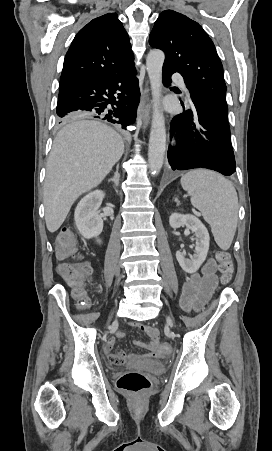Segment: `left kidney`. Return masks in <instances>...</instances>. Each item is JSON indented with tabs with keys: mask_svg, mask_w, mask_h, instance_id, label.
<instances>
[{
	"mask_svg": "<svg viewBox=\"0 0 272 451\" xmlns=\"http://www.w3.org/2000/svg\"><path fill=\"white\" fill-rule=\"evenodd\" d=\"M169 224L171 227H189L193 231V235H196L195 253L190 255V259H187L186 253H182L180 249L176 251L177 261H179L182 269L187 273H195L205 261L208 253L210 237L207 227L191 214H171Z\"/></svg>",
	"mask_w": 272,
	"mask_h": 451,
	"instance_id": "left-kidney-1",
	"label": "left kidney"
}]
</instances>
